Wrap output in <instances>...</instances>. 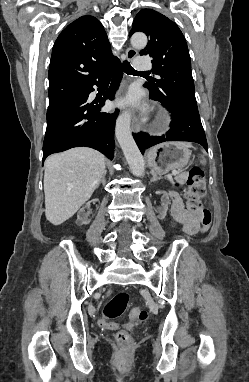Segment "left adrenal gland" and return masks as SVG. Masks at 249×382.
Segmentation results:
<instances>
[{
	"instance_id": "obj_1",
	"label": "left adrenal gland",
	"mask_w": 249,
	"mask_h": 382,
	"mask_svg": "<svg viewBox=\"0 0 249 382\" xmlns=\"http://www.w3.org/2000/svg\"><path fill=\"white\" fill-rule=\"evenodd\" d=\"M159 179H160V177H157V175L155 173H152L151 182H155V181H157Z\"/></svg>"
}]
</instances>
